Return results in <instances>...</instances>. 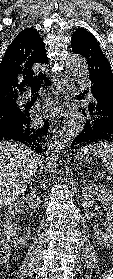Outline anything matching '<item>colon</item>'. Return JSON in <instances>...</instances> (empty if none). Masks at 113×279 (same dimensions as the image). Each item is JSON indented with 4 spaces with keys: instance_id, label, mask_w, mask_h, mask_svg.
Here are the masks:
<instances>
[{
    "instance_id": "obj_1",
    "label": "colon",
    "mask_w": 113,
    "mask_h": 279,
    "mask_svg": "<svg viewBox=\"0 0 113 279\" xmlns=\"http://www.w3.org/2000/svg\"><path fill=\"white\" fill-rule=\"evenodd\" d=\"M8 253L7 237L2 224L0 223V257H5Z\"/></svg>"
}]
</instances>
